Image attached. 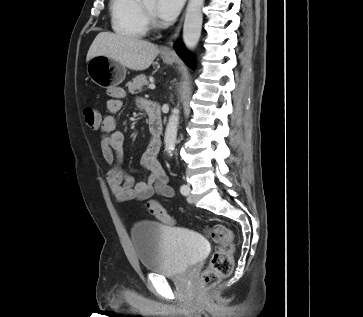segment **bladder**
Wrapping results in <instances>:
<instances>
[{"label": "bladder", "mask_w": 363, "mask_h": 317, "mask_svg": "<svg viewBox=\"0 0 363 317\" xmlns=\"http://www.w3.org/2000/svg\"><path fill=\"white\" fill-rule=\"evenodd\" d=\"M141 267L160 275L184 273L208 253L205 236L197 231L146 221L131 229Z\"/></svg>", "instance_id": "1"}]
</instances>
